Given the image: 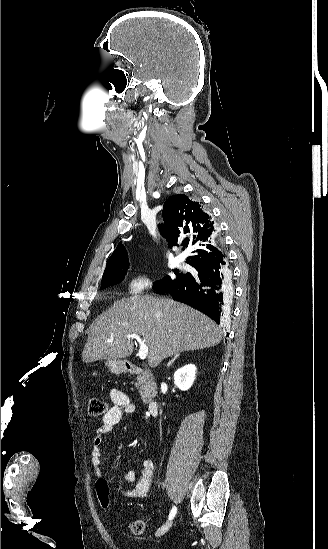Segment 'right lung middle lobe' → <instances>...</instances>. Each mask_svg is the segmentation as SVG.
<instances>
[{
	"label": "right lung middle lobe",
	"instance_id": "obj_1",
	"mask_svg": "<svg viewBox=\"0 0 328 549\" xmlns=\"http://www.w3.org/2000/svg\"><path fill=\"white\" fill-rule=\"evenodd\" d=\"M128 267L129 262L128 259H126L105 270L102 277L101 289H104L111 284L122 281L124 279V276L126 275V270L128 269ZM174 273L176 275L174 278L171 276H165L163 279L155 281L153 283V289L157 292H160L186 280L191 276L190 273H183L178 271H174Z\"/></svg>",
	"mask_w": 328,
	"mask_h": 549
}]
</instances>
